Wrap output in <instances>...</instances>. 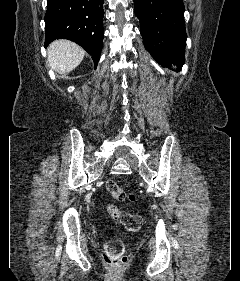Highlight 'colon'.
I'll list each match as a JSON object with an SVG mask.
<instances>
[{
    "instance_id": "5ec220e1",
    "label": "colon",
    "mask_w": 240,
    "mask_h": 281,
    "mask_svg": "<svg viewBox=\"0 0 240 281\" xmlns=\"http://www.w3.org/2000/svg\"><path fill=\"white\" fill-rule=\"evenodd\" d=\"M106 190L117 201H133L135 199L132 193L124 190L113 180L106 182ZM107 212L111 218L121 220L124 226L131 231H137L142 226V217L139 214L123 212L114 204L108 205ZM103 257L107 264L114 267L124 266L128 261L124 248L117 239H111L105 244Z\"/></svg>"
}]
</instances>
